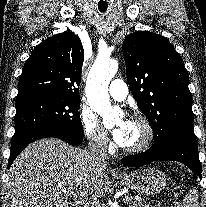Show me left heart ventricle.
Returning a JSON list of instances; mask_svg holds the SVG:
<instances>
[{
  "instance_id": "obj_1",
  "label": "left heart ventricle",
  "mask_w": 206,
  "mask_h": 207,
  "mask_svg": "<svg viewBox=\"0 0 206 207\" xmlns=\"http://www.w3.org/2000/svg\"><path fill=\"white\" fill-rule=\"evenodd\" d=\"M123 122L124 120H119L117 122V126L122 125ZM144 137H145V131L143 127L137 122L128 121L127 138L123 147L131 148L137 146L143 141Z\"/></svg>"
}]
</instances>
